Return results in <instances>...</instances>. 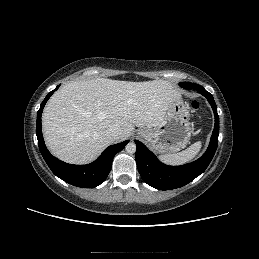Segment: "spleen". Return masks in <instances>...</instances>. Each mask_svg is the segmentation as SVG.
<instances>
[{
	"label": "spleen",
	"instance_id": "1",
	"mask_svg": "<svg viewBox=\"0 0 259 259\" xmlns=\"http://www.w3.org/2000/svg\"><path fill=\"white\" fill-rule=\"evenodd\" d=\"M202 147L201 141L195 142L187 149L176 154H165L161 155L159 158L162 162L170 165H181L187 163L194 159L200 152Z\"/></svg>",
	"mask_w": 259,
	"mask_h": 259
}]
</instances>
